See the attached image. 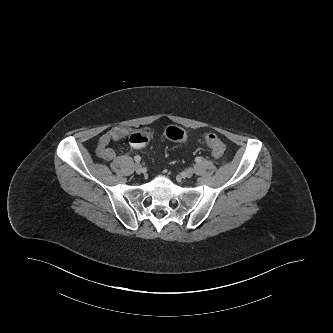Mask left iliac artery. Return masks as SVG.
<instances>
[{"instance_id":"1","label":"left iliac artery","mask_w":333,"mask_h":333,"mask_svg":"<svg viewBox=\"0 0 333 333\" xmlns=\"http://www.w3.org/2000/svg\"><path fill=\"white\" fill-rule=\"evenodd\" d=\"M201 160H202L201 157H196V158H195V162H197V163L201 162Z\"/></svg>"}]
</instances>
